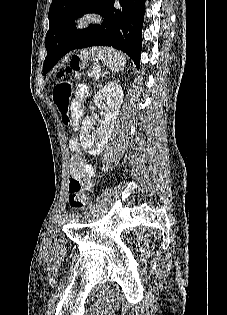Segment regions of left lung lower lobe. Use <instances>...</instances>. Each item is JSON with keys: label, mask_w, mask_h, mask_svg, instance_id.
<instances>
[{"label": "left lung lower lobe", "mask_w": 227, "mask_h": 315, "mask_svg": "<svg viewBox=\"0 0 227 315\" xmlns=\"http://www.w3.org/2000/svg\"><path fill=\"white\" fill-rule=\"evenodd\" d=\"M121 9L114 7L115 0H108L101 12L104 20L92 26L78 43L69 46L63 39L50 38L45 42L47 57L44 72L47 73L70 50L92 46H111L125 52L140 67L141 37L145 0H118Z\"/></svg>", "instance_id": "0a47b994"}]
</instances>
